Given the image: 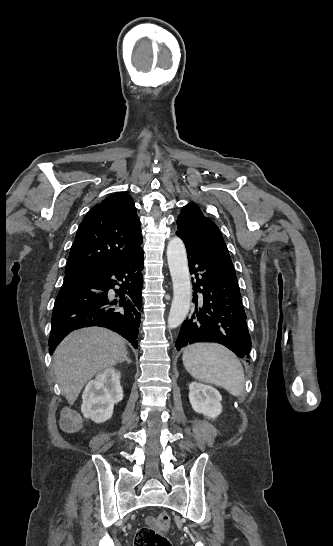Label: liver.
<instances>
[{
	"mask_svg": "<svg viewBox=\"0 0 333 546\" xmlns=\"http://www.w3.org/2000/svg\"><path fill=\"white\" fill-rule=\"evenodd\" d=\"M126 352L124 340L100 327L70 333L54 353V373L72 405L85 384L96 374L117 364Z\"/></svg>",
	"mask_w": 333,
	"mask_h": 546,
	"instance_id": "liver-1",
	"label": "liver"
}]
</instances>
